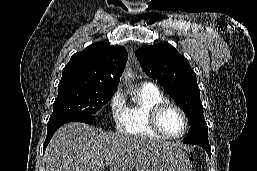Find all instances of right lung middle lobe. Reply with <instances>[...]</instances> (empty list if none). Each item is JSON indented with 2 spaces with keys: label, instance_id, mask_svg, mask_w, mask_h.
I'll return each instance as SVG.
<instances>
[{
  "label": "right lung middle lobe",
  "instance_id": "dd1d6c3e",
  "mask_svg": "<svg viewBox=\"0 0 257 171\" xmlns=\"http://www.w3.org/2000/svg\"><path fill=\"white\" fill-rule=\"evenodd\" d=\"M115 91L84 85L58 87V96L48 123L60 120L92 122L93 114L108 103Z\"/></svg>",
  "mask_w": 257,
  "mask_h": 171
}]
</instances>
